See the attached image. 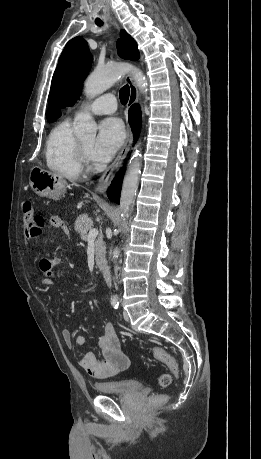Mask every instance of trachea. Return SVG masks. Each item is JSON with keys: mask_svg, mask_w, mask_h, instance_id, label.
I'll list each match as a JSON object with an SVG mask.
<instances>
[{"mask_svg": "<svg viewBox=\"0 0 261 459\" xmlns=\"http://www.w3.org/2000/svg\"><path fill=\"white\" fill-rule=\"evenodd\" d=\"M96 25L98 26H102L103 25V22L100 21V20H97L95 21ZM129 95H130V89H129V86L128 85H125L123 86L121 89H120V94H119V98H120V101L123 105H125L128 100H129Z\"/></svg>", "mask_w": 261, "mask_h": 459, "instance_id": "3493384b", "label": "trachea"}]
</instances>
